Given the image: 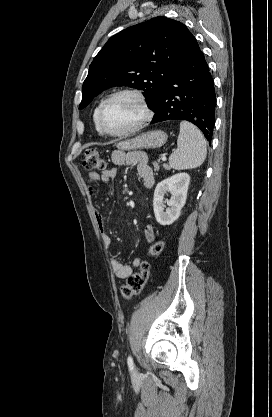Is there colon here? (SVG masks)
<instances>
[{"label":"colon","mask_w":272,"mask_h":417,"mask_svg":"<svg viewBox=\"0 0 272 417\" xmlns=\"http://www.w3.org/2000/svg\"><path fill=\"white\" fill-rule=\"evenodd\" d=\"M82 165L86 170H104L106 162L101 157L100 153L96 149L86 150ZM165 248L164 241H157L152 243L147 250V255L155 257L162 253ZM150 272V264L147 259L141 262L140 271L131 274L126 282L121 286L120 293L124 300H128L131 297L139 294L145 286Z\"/></svg>","instance_id":"1"}]
</instances>
